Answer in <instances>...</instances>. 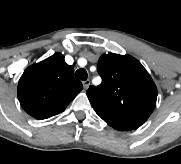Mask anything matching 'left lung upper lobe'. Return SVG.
Listing matches in <instances>:
<instances>
[{
  "instance_id": "obj_1",
  "label": "left lung upper lobe",
  "mask_w": 181,
  "mask_h": 164,
  "mask_svg": "<svg viewBox=\"0 0 181 164\" xmlns=\"http://www.w3.org/2000/svg\"><path fill=\"white\" fill-rule=\"evenodd\" d=\"M102 83L90 86L87 97L107 123L140 127L153 112L157 88L142 64L130 55L114 53L99 58Z\"/></svg>"
}]
</instances>
